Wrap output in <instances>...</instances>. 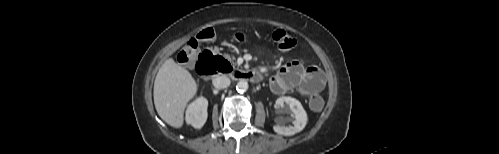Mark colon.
Segmentation results:
<instances>
[{"mask_svg": "<svg viewBox=\"0 0 499 154\" xmlns=\"http://www.w3.org/2000/svg\"><path fill=\"white\" fill-rule=\"evenodd\" d=\"M213 36L214 32L211 28H206L198 32L182 46L178 53V61L184 65H192L195 61V50L198 43L209 40ZM272 40L283 51H290L296 45V40L288 32L281 29L273 31ZM213 64L217 71H228L230 69L229 62L219 56L214 57ZM309 106L313 111H320L324 106V101L321 96L316 94L311 96Z\"/></svg>", "mask_w": 499, "mask_h": 154, "instance_id": "5ec220e1", "label": "colon"}]
</instances>
